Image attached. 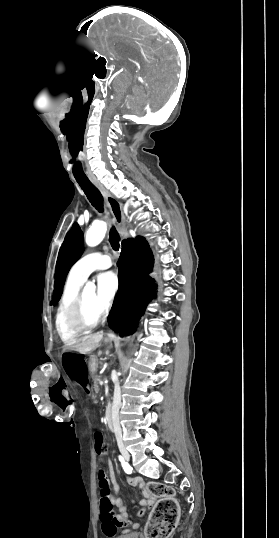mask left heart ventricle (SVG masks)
<instances>
[{
    "instance_id": "left-heart-ventricle-1",
    "label": "left heart ventricle",
    "mask_w": 279,
    "mask_h": 538,
    "mask_svg": "<svg viewBox=\"0 0 279 538\" xmlns=\"http://www.w3.org/2000/svg\"><path fill=\"white\" fill-rule=\"evenodd\" d=\"M85 298L87 301L88 312L90 314L98 315L102 313V309L97 301V291L95 289L85 291Z\"/></svg>"
}]
</instances>
